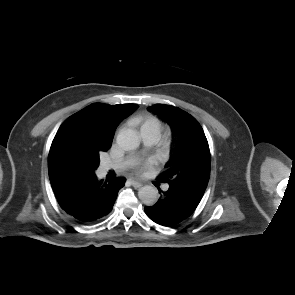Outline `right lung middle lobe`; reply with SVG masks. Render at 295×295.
Masks as SVG:
<instances>
[{
	"label": "right lung middle lobe",
	"instance_id": "dd1d6c3e",
	"mask_svg": "<svg viewBox=\"0 0 295 295\" xmlns=\"http://www.w3.org/2000/svg\"><path fill=\"white\" fill-rule=\"evenodd\" d=\"M102 152L99 148H94L90 151L89 158L82 168L76 171V174L89 175L99 166V154Z\"/></svg>",
	"mask_w": 295,
	"mask_h": 295
}]
</instances>
